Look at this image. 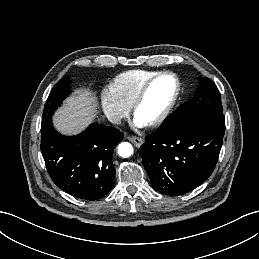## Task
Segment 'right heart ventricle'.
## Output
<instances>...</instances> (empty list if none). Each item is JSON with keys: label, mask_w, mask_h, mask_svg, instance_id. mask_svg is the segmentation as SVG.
<instances>
[{"label": "right heart ventricle", "mask_w": 259, "mask_h": 259, "mask_svg": "<svg viewBox=\"0 0 259 259\" xmlns=\"http://www.w3.org/2000/svg\"><path fill=\"white\" fill-rule=\"evenodd\" d=\"M156 73L140 69L123 72L113 79L110 90L130 108L142 85Z\"/></svg>", "instance_id": "obj_1"}]
</instances>
